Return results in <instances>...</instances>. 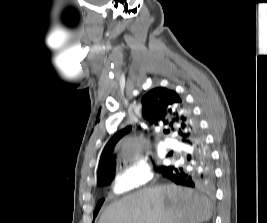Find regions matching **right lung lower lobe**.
<instances>
[{"label": "right lung lower lobe", "mask_w": 267, "mask_h": 223, "mask_svg": "<svg viewBox=\"0 0 267 223\" xmlns=\"http://www.w3.org/2000/svg\"><path fill=\"white\" fill-rule=\"evenodd\" d=\"M194 131V134L184 141L188 152V165L164 167L161 172L164 177L178 185L207 189L214 181L213 162L198 124H195Z\"/></svg>", "instance_id": "obj_1"}]
</instances>
